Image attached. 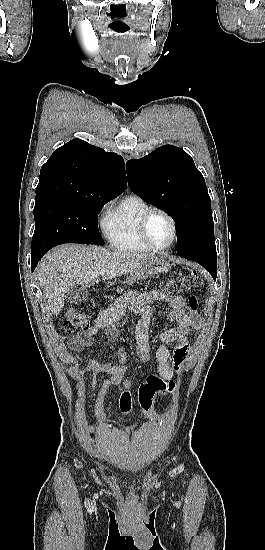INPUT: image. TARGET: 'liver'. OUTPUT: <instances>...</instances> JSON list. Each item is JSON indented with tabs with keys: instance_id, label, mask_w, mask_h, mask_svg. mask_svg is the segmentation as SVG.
Instances as JSON below:
<instances>
[{
	"instance_id": "6515ba94",
	"label": "liver",
	"mask_w": 265,
	"mask_h": 550,
	"mask_svg": "<svg viewBox=\"0 0 265 550\" xmlns=\"http://www.w3.org/2000/svg\"><path fill=\"white\" fill-rule=\"evenodd\" d=\"M150 255L109 251L99 246L65 244L54 248L39 262L37 277L51 313L64 307L69 287H90L103 280L133 274ZM104 271V275L100 272Z\"/></svg>"
}]
</instances>
